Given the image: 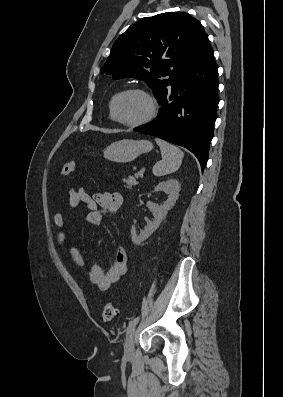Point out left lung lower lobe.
<instances>
[{"label": "left lung lower lobe", "mask_w": 283, "mask_h": 397, "mask_svg": "<svg viewBox=\"0 0 283 397\" xmlns=\"http://www.w3.org/2000/svg\"><path fill=\"white\" fill-rule=\"evenodd\" d=\"M217 71L210 47L189 63L173 81L171 88L159 100L161 108L158 117L134 131L187 148L204 170L219 103Z\"/></svg>", "instance_id": "left-lung-lower-lobe-1"}]
</instances>
